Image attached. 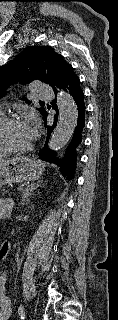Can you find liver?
<instances>
[{"instance_id": "1", "label": "liver", "mask_w": 118, "mask_h": 320, "mask_svg": "<svg viewBox=\"0 0 118 320\" xmlns=\"http://www.w3.org/2000/svg\"><path fill=\"white\" fill-rule=\"evenodd\" d=\"M8 160H0V165H2L3 163H5Z\"/></svg>"}]
</instances>
